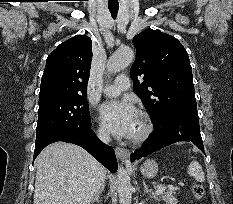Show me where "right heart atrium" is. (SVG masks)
I'll return each mask as SVG.
<instances>
[{"label":"right heart atrium","mask_w":233,"mask_h":204,"mask_svg":"<svg viewBox=\"0 0 233 204\" xmlns=\"http://www.w3.org/2000/svg\"><path fill=\"white\" fill-rule=\"evenodd\" d=\"M96 135L102 141H105L108 138L107 132L103 128H101V127H99L96 130Z\"/></svg>","instance_id":"1"}]
</instances>
